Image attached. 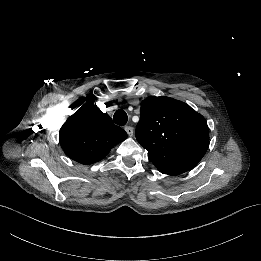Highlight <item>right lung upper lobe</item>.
Returning <instances> with one entry per match:
<instances>
[{
    "label": "right lung upper lobe",
    "mask_w": 261,
    "mask_h": 261,
    "mask_svg": "<svg viewBox=\"0 0 261 261\" xmlns=\"http://www.w3.org/2000/svg\"><path fill=\"white\" fill-rule=\"evenodd\" d=\"M126 138L127 133L91 101L80 107L59 132L65 154L82 164L100 161Z\"/></svg>",
    "instance_id": "obj_1"
}]
</instances>
